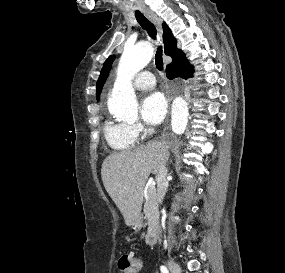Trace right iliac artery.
<instances>
[{"label":"right iliac artery","mask_w":285,"mask_h":273,"mask_svg":"<svg viewBox=\"0 0 285 273\" xmlns=\"http://www.w3.org/2000/svg\"><path fill=\"white\" fill-rule=\"evenodd\" d=\"M160 270L162 273H169L168 269L165 266H161Z\"/></svg>","instance_id":"1"}]
</instances>
